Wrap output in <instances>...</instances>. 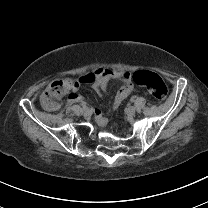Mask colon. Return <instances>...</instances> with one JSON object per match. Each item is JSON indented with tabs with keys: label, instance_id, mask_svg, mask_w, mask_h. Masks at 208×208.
I'll list each match as a JSON object with an SVG mask.
<instances>
[{
	"label": "colon",
	"instance_id": "colon-1",
	"mask_svg": "<svg viewBox=\"0 0 208 208\" xmlns=\"http://www.w3.org/2000/svg\"><path fill=\"white\" fill-rule=\"evenodd\" d=\"M133 81L145 87L155 100H164L168 94V88L163 79L154 72L138 71L133 74ZM78 83L76 88L83 87ZM75 88V81L71 77H64L62 80H54L45 89V95L39 101V108L42 111H57L59 100L70 95Z\"/></svg>",
	"mask_w": 208,
	"mask_h": 208
}]
</instances>
